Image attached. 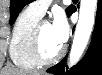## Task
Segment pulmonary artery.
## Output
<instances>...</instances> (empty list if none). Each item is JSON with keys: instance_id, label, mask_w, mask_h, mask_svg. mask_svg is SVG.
<instances>
[{"instance_id": "obj_1", "label": "pulmonary artery", "mask_w": 102, "mask_h": 75, "mask_svg": "<svg viewBox=\"0 0 102 75\" xmlns=\"http://www.w3.org/2000/svg\"><path fill=\"white\" fill-rule=\"evenodd\" d=\"M52 3V0H40V1H33L29 4V7L34 13L38 14L39 16H43L47 8Z\"/></svg>"}]
</instances>
